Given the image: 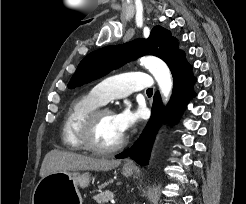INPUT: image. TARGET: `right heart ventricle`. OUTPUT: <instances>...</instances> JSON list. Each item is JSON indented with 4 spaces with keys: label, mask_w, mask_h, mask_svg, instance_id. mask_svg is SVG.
<instances>
[{
    "label": "right heart ventricle",
    "mask_w": 246,
    "mask_h": 204,
    "mask_svg": "<svg viewBox=\"0 0 246 204\" xmlns=\"http://www.w3.org/2000/svg\"><path fill=\"white\" fill-rule=\"evenodd\" d=\"M101 103L92 95H86L76 98L70 105L62 125L63 144L71 150H84L79 131L85 118L95 109L99 108Z\"/></svg>",
    "instance_id": "1"
}]
</instances>
